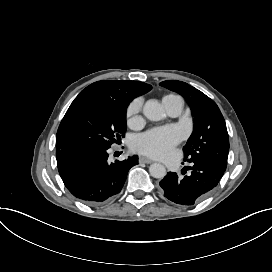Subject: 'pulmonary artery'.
<instances>
[{
  "instance_id": "obj_1",
  "label": "pulmonary artery",
  "mask_w": 272,
  "mask_h": 272,
  "mask_svg": "<svg viewBox=\"0 0 272 272\" xmlns=\"http://www.w3.org/2000/svg\"><path fill=\"white\" fill-rule=\"evenodd\" d=\"M184 102L181 97L174 96L168 101L169 113L171 116H179L183 110Z\"/></svg>"
}]
</instances>
